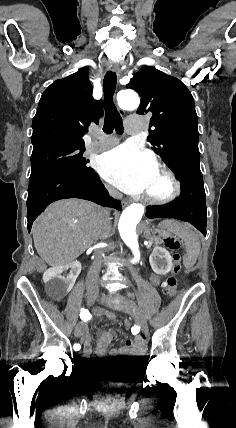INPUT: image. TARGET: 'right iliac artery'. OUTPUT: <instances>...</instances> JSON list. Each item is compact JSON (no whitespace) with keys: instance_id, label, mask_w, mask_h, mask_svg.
I'll return each instance as SVG.
<instances>
[{"instance_id":"obj_1","label":"right iliac artery","mask_w":236,"mask_h":428,"mask_svg":"<svg viewBox=\"0 0 236 428\" xmlns=\"http://www.w3.org/2000/svg\"><path fill=\"white\" fill-rule=\"evenodd\" d=\"M92 317V315L89 313V311L87 309L81 308V312H80V318L86 322L88 320H90ZM75 351H79L81 346L80 344H74L73 346Z\"/></svg>"}]
</instances>
